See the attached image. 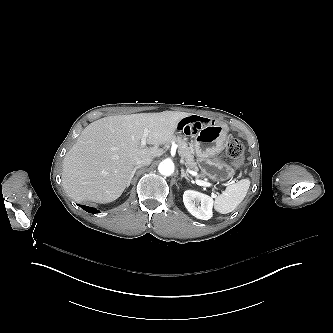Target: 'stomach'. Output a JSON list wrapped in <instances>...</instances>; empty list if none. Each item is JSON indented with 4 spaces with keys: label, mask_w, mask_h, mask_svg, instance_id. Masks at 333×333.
<instances>
[{
    "label": "stomach",
    "mask_w": 333,
    "mask_h": 333,
    "mask_svg": "<svg viewBox=\"0 0 333 333\" xmlns=\"http://www.w3.org/2000/svg\"><path fill=\"white\" fill-rule=\"evenodd\" d=\"M225 140V132L220 126L205 125L191 142L199 168L213 182L226 181L235 175V169L217 157L225 148Z\"/></svg>",
    "instance_id": "stomach-1"
}]
</instances>
